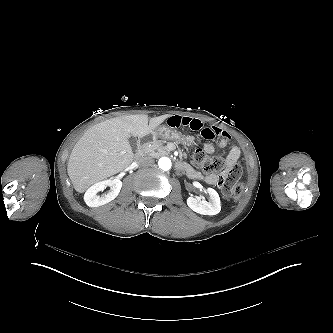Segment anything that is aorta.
<instances>
[{
	"instance_id": "762f6f07",
	"label": "aorta",
	"mask_w": 333,
	"mask_h": 333,
	"mask_svg": "<svg viewBox=\"0 0 333 333\" xmlns=\"http://www.w3.org/2000/svg\"><path fill=\"white\" fill-rule=\"evenodd\" d=\"M158 166L163 171H168L171 169V160L168 157H162L158 161Z\"/></svg>"
}]
</instances>
